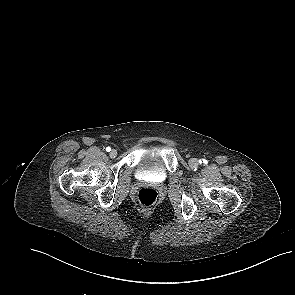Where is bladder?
<instances>
[{
	"mask_svg": "<svg viewBox=\"0 0 295 295\" xmlns=\"http://www.w3.org/2000/svg\"><path fill=\"white\" fill-rule=\"evenodd\" d=\"M137 171L143 175L164 178L166 168L162 158L156 154H145L141 157L137 165Z\"/></svg>",
	"mask_w": 295,
	"mask_h": 295,
	"instance_id": "1",
	"label": "bladder"
}]
</instances>
